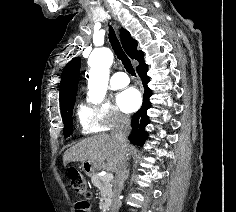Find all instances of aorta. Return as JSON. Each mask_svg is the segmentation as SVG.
<instances>
[{"label": "aorta", "mask_w": 236, "mask_h": 212, "mask_svg": "<svg viewBox=\"0 0 236 212\" xmlns=\"http://www.w3.org/2000/svg\"><path fill=\"white\" fill-rule=\"evenodd\" d=\"M113 63V53L108 48L94 50L89 59L88 96L92 103L103 101L108 87L109 68Z\"/></svg>", "instance_id": "obj_1"}]
</instances>
